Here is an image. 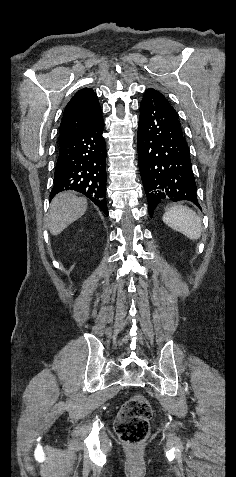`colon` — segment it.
Segmentation results:
<instances>
[{
  "instance_id": "1",
  "label": "colon",
  "mask_w": 236,
  "mask_h": 477,
  "mask_svg": "<svg viewBox=\"0 0 236 477\" xmlns=\"http://www.w3.org/2000/svg\"><path fill=\"white\" fill-rule=\"evenodd\" d=\"M152 407L141 394L132 395L121 407L115 422L118 438L126 445L143 443L150 431Z\"/></svg>"
}]
</instances>
